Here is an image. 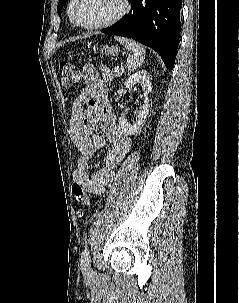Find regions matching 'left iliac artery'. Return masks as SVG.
<instances>
[{
  "label": "left iliac artery",
  "mask_w": 239,
  "mask_h": 303,
  "mask_svg": "<svg viewBox=\"0 0 239 303\" xmlns=\"http://www.w3.org/2000/svg\"><path fill=\"white\" fill-rule=\"evenodd\" d=\"M89 264V250L88 248L86 247L83 252H82V255H81V265L83 267H86L88 266Z\"/></svg>",
  "instance_id": "1"
}]
</instances>
